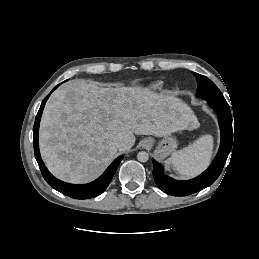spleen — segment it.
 Listing matches in <instances>:
<instances>
[{
  "label": "spleen",
  "instance_id": "obj_1",
  "mask_svg": "<svg viewBox=\"0 0 259 259\" xmlns=\"http://www.w3.org/2000/svg\"><path fill=\"white\" fill-rule=\"evenodd\" d=\"M213 152V137L204 135L191 145L172 154L168 161L185 177H193L210 163Z\"/></svg>",
  "mask_w": 259,
  "mask_h": 259
}]
</instances>
